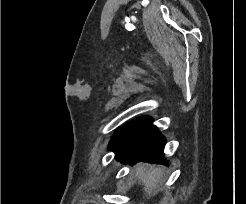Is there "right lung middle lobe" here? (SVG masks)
<instances>
[{
    "label": "right lung middle lobe",
    "mask_w": 246,
    "mask_h": 204,
    "mask_svg": "<svg viewBox=\"0 0 246 204\" xmlns=\"http://www.w3.org/2000/svg\"><path fill=\"white\" fill-rule=\"evenodd\" d=\"M118 133H119V131H117V132L114 134V136H113V138H112V140H111V142H110L109 149L113 148L114 144L116 143Z\"/></svg>",
    "instance_id": "right-lung-middle-lobe-1"
}]
</instances>
